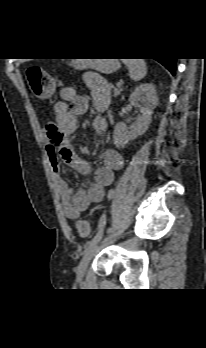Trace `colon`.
<instances>
[{
  "mask_svg": "<svg viewBox=\"0 0 206 348\" xmlns=\"http://www.w3.org/2000/svg\"><path fill=\"white\" fill-rule=\"evenodd\" d=\"M26 79L32 95L39 100H45L52 96L55 90L53 78L41 67L31 66L26 70ZM76 230L80 237L88 238L91 227L88 221L80 220L76 223Z\"/></svg>",
  "mask_w": 206,
  "mask_h": 348,
  "instance_id": "obj_1",
  "label": "colon"
}]
</instances>
